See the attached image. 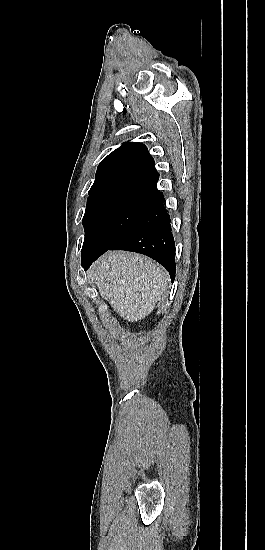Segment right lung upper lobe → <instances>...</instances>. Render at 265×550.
I'll list each match as a JSON object with an SVG mask.
<instances>
[{
    "label": "right lung upper lobe",
    "mask_w": 265,
    "mask_h": 550,
    "mask_svg": "<svg viewBox=\"0 0 265 550\" xmlns=\"http://www.w3.org/2000/svg\"><path fill=\"white\" fill-rule=\"evenodd\" d=\"M158 179L147 147L125 142L99 164L88 199L121 188L156 187Z\"/></svg>",
    "instance_id": "obj_1"
}]
</instances>
